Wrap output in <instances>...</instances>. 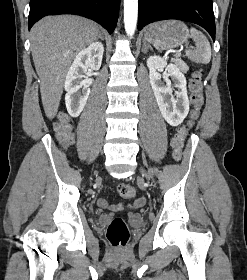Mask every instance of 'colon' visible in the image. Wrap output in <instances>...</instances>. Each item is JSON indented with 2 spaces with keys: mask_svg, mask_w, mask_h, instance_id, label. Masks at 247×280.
I'll use <instances>...</instances> for the list:
<instances>
[{
  "mask_svg": "<svg viewBox=\"0 0 247 280\" xmlns=\"http://www.w3.org/2000/svg\"><path fill=\"white\" fill-rule=\"evenodd\" d=\"M191 92L190 100L192 109L188 123L179 128L171 140L173 156L179 161L182 157L184 142L190 129L193 127L204 104L203 81L200 72H195L189 83ZM72 122L68 114L62 113L58 117L55 126L56 136L63 145H69L73 142ZM118 194L125 199H131L135 196V189L129 184L122 183L117 188ZM103 203V202H102ZM106 237L114 247L125 246L129 240V229L122 217L114 218L107 227Z\"/></svg>",
  "mask_w": 247,
  "mask_h": 280,
  "instance_id": "1",
  "label": "colon"
}]
</instances>
